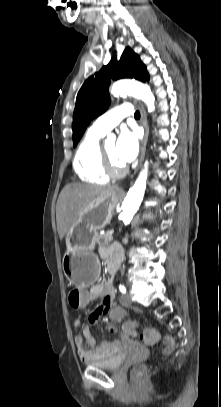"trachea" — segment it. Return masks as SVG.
Returning a JSON list of instances; mask_svg holds the SVG:
<instances>
[{"label": "trachea", "instance_id": "3493384b", "mask_svg": "<svg viewBox=\"0 0 221 407\" xmlns=\"http://www.w3.org/2000/svg\"><path fill=\"white\" fill-rule=\"evenodd\" d=\"M134 117H135L136 119L140 118V112H139V111H136L135 114H134Z\"/></svg>", "mask_w": 221, "mask_h": 407}]
</instances>
